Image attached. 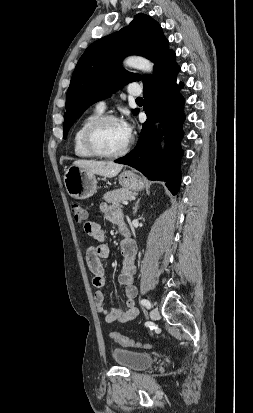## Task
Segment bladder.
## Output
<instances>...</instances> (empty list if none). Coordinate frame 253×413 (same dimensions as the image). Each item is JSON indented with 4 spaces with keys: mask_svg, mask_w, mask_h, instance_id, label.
<instances>
[{
    "mask_svg": "<svg viewBox=\"0 0 253 413\" xmlns=\"http://www.w3.org/2000/svg\"><path fill=\"white\" fill-rule=\"evenodd\" d=\"M112 358L116 364L133 371L145 370L155 362L149 353L125 348H114Z\"/></svg>",
    "mask_w": 253,
    "mask_h": 413,
    "instance_id": "bladder-1",
    "label": "bladder"
}]
</instances>
